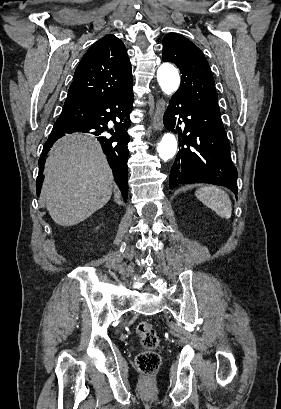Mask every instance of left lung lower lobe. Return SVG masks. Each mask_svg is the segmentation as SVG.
I'll return each instance as SVG.
<instances>
[{
  "mask_svg": "<svg viewBox=\"0 0 281 409\" xmlns=\"http://www.w3.org/2000/svg\"><path fill=\"white\" fill-rule=\"evenodd\" d=\"M182 122L185 128L181 140L182 129L178 125ZM164 124L178 133L181 147L170 173L171 189L178 183H211L237 194V170L231 161L221 116L174 94L164 114Z\"/></svg>",
  "mask_w": 281,
  "mask_h": 409,
  "instance_id": "left-lung-lower-lobe-1",
  "label": "left lung lower lobe"
}]
</instances>
